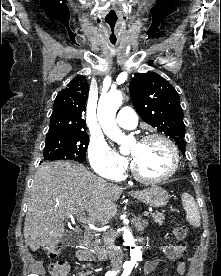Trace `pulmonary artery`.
<instances>
[{
  "mask_svg": "<svg viewBox=\"0 0 221 276\" xmlns=\"http://www.w3.org/2000/svg\"><path fill=\"white\" fill-rule=\"evenodd\" d=\"M116 122L123 128L133 129L138 123V118L133 109L130 107H123L117 114Z\"/></svg>",
  "mask_w": 221,
  "mask_h": 276,
  "instance_id": "obj_1",
  "label": "pulmonary artery"
}]
</instances>
